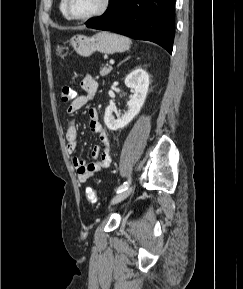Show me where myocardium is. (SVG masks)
I'll use <instances>...</instances> for the list:
<instances>
[{
    "instance_id": "f54148a6",
    "label": "myocardium",
    "mask_w": 243,
    "mask_h": 289,
    "mask_svg": "<svg viewBox=\"0 0 243 289\" xmlns=\"http://www.w3.org/2000/svg\"><path fill=\"white\" fill-rule=\"evenodd\" d=\"M64 1H65V12H66L68 18H70L72 20H76V21H86V20H90V19H93V18H96V17L103 15L109 9L110 3H111V0H103L101 7L97 11H95L89 15H85V16H74L70 12V7H69L70 0H64Z\"/></svg>"
}]
</instances>
